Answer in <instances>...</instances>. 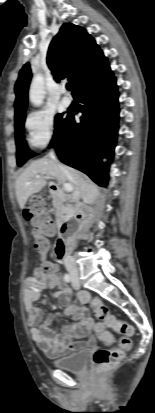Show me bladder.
I'll return each mask as SVG.
<instances>
[{
	"label": "bladder",
	"mask_w": 155,
	"mask_h": 413,
	"mask_svg": "<svg viewBox=\"0 0 155 413\" xmlns=\"http://www.w3.org/2000/svg\"><path fill=\"white\" fill-rule=\"evenodd\" d=\"M89 351L83 350L76 354L54 360L55 367L72 373H83L88 366Z\"/></svg>",
	"instance_id": "bladder-1"
}]
</instances>
